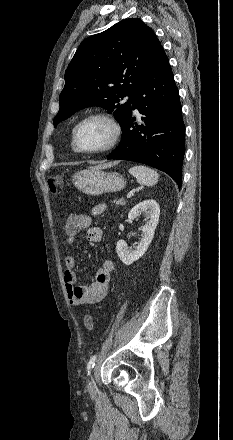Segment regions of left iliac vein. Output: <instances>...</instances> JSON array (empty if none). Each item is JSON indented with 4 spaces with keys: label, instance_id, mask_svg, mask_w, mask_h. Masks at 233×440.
Wrapping results in <instances>:
<instances>
[{
    "label": "left iliac vein",
    "instance_id": "obj_1",
    "mask_svg": "<svg viewBox=\"0 0 233 440\" xmlns=\"http://www.w3.org/2000/svg\"><path fill=\"white\" fill-rule=\"evenodd\" d=\"M88 389L92 392L95 391V383L91 377L88 380Z\"/></svg>",
    "mask_w": 233,
    "mask_h": 440
}]
</instances>
